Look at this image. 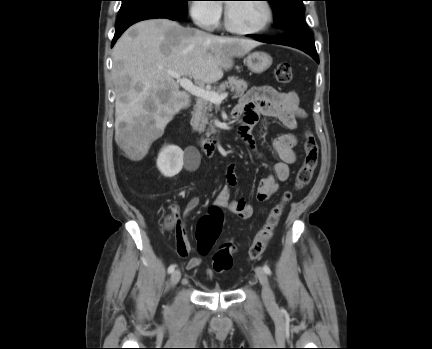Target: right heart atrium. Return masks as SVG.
<instances>
[{"instance_id":"1","label":"right heart atrium","mask_w":432,"mask_h":349,"mask_svg":"<svg viewBox=\"0 0 432 349\" xmlns=\"http://www.w3.org/2000/svg\"><path fill=\"white\" fill-rule=\"evenodd\" d=\"M189 12L197 25L212 29L220 20L222 7L216 0H193L190 2Z\"/></svg>"}]
</instances>
